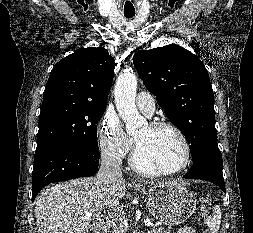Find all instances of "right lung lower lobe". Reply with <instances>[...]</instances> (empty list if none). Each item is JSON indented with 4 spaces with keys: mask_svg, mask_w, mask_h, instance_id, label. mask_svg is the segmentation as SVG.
I'll use <instances>...</instances> for the list:
<instances>
[{
    "mask_svg": "<svg viewBox=\"0 0 253 233\" xmlns=\"http://www.w3.org/2000/svg\"><path fill=\"white\" fill-rule=\"evenodd\" d=\"M99 158V153L65 143L49 142L37 147L32 173V201L47 184L94 175Z\"/></svg>",
    "mask_w": 253,
    "mask_h": 233,
    "instance_id": "98d812e1",
    "label": "right lung lower lobe"
}]
</instances>
